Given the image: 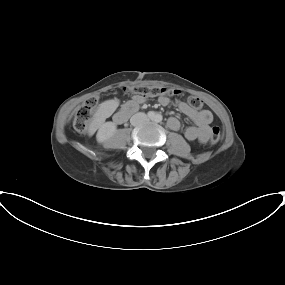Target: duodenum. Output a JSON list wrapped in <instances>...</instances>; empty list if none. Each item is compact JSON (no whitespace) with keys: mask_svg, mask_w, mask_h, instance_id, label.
Here are the masks:
<instances>
[{"mask_svg":"<svg viewBox=\"0 0 285 285\" xmlns=\"http://www.w3.org/2000/svg\"><path fill=\"white\" fill-rule=\"evenodd\" d=\"M137 106L133 103H126L122 109L116 113L114 120L118 124L126 122L129 116H131L136 110Z\"/></svg>","mask_w":285,"mask_h":285,"instance_id":"1","label":"duodenum"}]
</instances>
